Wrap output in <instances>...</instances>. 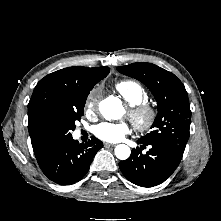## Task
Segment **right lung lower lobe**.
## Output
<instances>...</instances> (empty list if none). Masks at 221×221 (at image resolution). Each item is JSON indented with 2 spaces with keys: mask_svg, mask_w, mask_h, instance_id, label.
Here are the masks:
<instances>
[{
  "mask_svg": "<svg viewBox=\"0 0 221 221\" xmlns=\"http://www.w3.org/2000/svg\"><path fill=\"white\" fill-rule=\"evenodd\" d=\"M102 146L95 137L82 144L70 136L52 142L36 159L47 178L59 185H70L85 176Z\"/></svg>",
  "mask_w": 221,
  "mask_h": 221,
  "instance_id": "right-lung-lower-lobe-1",
  "label": "right lung lower lobe"
}]
</instances>
